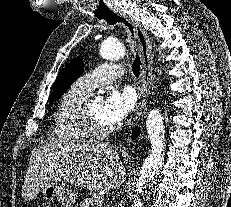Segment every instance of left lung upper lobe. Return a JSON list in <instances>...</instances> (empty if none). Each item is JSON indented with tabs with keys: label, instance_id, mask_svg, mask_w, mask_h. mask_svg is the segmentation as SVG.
I'll list each match as a JSON object with an SVG mask.
<instances>
[{
	"label": "left lung upper lobe",
	"instance_id": "obj_1",
	"mask_svg": "<svg viewBox=\"0 0 231 207\" xmlns=\"http://www.w3.org/2000/svg\"><path fill=\"white\" fill-rule=\"evenodd\" d=\"M83 59L77 57L68 63L59 73L55 81L49 104L57 101L71 84L83 73Z\"/></svg>",
	"mask_w": 231,
	"mask_h": 207
}]
</instances>
